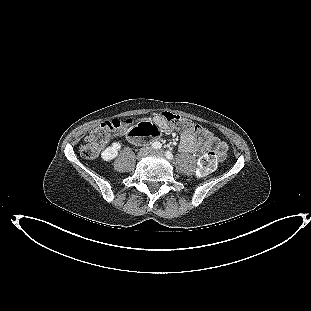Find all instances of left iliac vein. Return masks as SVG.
<instances>
[{"label": "left iliac vein", "mask_w": 311, "mask_h": 311, "mask_svg": "<svg viewBox=\"0 0 311 311\" xmlns=\"http://www.w3.org/2000/svg\"><path fill=\"white\" fill-rule=\"evenodd\" d=\"M151 154H156V155H159V156H164V152L162 150L151 151Z\"/></svg>", "instance_id": "obj_1"}]
</instances>
